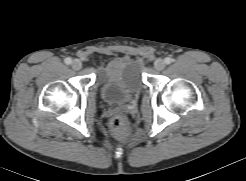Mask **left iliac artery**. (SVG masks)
<instances>
[{"mask_svg": "<svg viewBox=\"0 0 246 181\" xmlns=\"http://www.w3.org/2000/svg\"><path fill=\"white\" fill-rule=\"evenodd\" d=\"M173 62V59L172 58H170V57H166L165 58V63L166 64H170V63H172Z\"/></svg>", "mask_w": 246, "mask_h": 181, "instance_id": "44dca946", "label": "left iliac artery"}]
</instances>
